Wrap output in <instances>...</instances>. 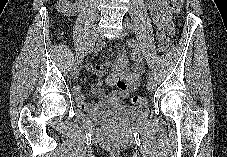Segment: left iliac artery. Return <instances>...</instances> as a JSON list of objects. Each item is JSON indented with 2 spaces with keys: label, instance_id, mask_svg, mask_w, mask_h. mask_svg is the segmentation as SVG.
Here are the masks:
<instances>
[{
  "label": "left iliac artery",
  "instance_id": "left-iliac-artery-1",
  "mask_svg": "<svg viewBox=\"0 0 227 157\" xmlns=\"http://www.w3.org/2000/svg\"><path fill=\"white\" fill-rule=\"evenodd\" d=\"M127 28H128L129 30H133V25H132V23L128 22ZM147 77H148V80L152 79V73H151L150 71H148Z\"/></svg>",
  "mask_w": 227,
  "mask_h": 157
}]
</instances>
